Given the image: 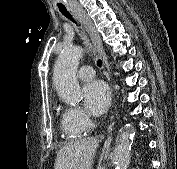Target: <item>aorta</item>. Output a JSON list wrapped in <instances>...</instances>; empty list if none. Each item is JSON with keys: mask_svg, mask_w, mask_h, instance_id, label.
<instances>
[{"mask_svg": "<svg viewBox=\"0 0 177 169\" xmlns=\"http://www.w3.org/2000/svg\"><path fill=\"white\" fill-rule=\"evenodd\" d=\"M82 55L81 47L65 46L54 65L53 83L60 98L69 104H77L81 100L82 93L76 73ZM132 143V132L122 131L114 151L115 169L128 168Z\"/></svg>", "mask_w": 177, "mask_h": 169, "instance_id": "aorta-1", "label": "aorta"}]
</instances>
